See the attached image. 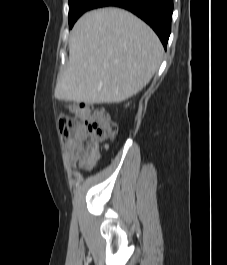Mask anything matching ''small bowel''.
Segmentation results:
<instances>
[{"instance_id":"1","label":"small bowel","mask_w":227,"mask_h":265,"mask_svg":"<svg viewBox=\"0 0 227 265\" xmlns=\"http://www.w3.org/2000/svg\"><path fill=\"white\" fill-rule=\"evenodd\" d=\"M84 132L82 126L74 128L67 141V150L73 167H80L83 170L89 171L93 168L98 155V146L94 149H85L80 139Z\"/></svg>"}]
</instances>
